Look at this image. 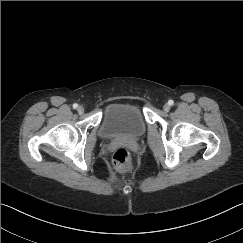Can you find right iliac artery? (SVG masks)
I'll return each mask as SVG.
<instances>
[{
	"label": "right iliac artery",
	"instance_id": "1",
	"mask_svg": "<svg viewBox=\"0 0 243 243\" xmlns=\"http://www.w3.org/2000/svg\"><path fill=\"white\" fill-rule=\"evenodd\" d=\"M77 107H78V104H77V103H74V104H73V108L76 109Z\"/></svg>",
	"mask_w": 243,
	"mask_h": 243
}]
</instances>
